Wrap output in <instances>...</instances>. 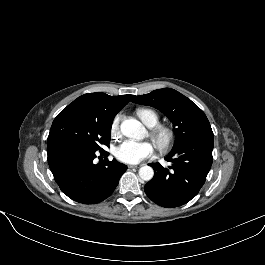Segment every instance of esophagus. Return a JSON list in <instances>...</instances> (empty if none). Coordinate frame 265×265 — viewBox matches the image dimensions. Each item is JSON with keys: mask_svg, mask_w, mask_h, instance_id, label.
<instances>
[{"mask_svg": "<svg viewBox=\"0 0 265 265\" xmlns=\"http://www.w3.org/2000/svg\"><path fill=\"white\" fill-rule=\"evenodd\" d=\"M141 165H129L128 167L129 168H138V167H140Z\"/></svg>", "mask_w": 265, "mask_h": 265, "instance_id": "1", "label": "esophagus"}]
</instances>
